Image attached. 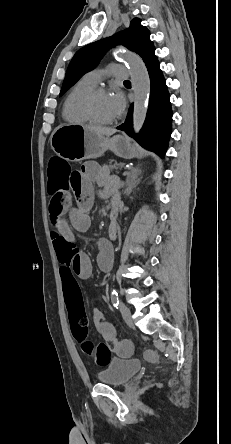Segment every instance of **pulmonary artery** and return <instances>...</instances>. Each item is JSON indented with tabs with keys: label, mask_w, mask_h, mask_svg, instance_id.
Listing matches in <instances>:
<instances>
[{
	"label": "pulmonary artery",
	"mask_w": 231,
	"mask_h": 444,
	"mask_svg": "<svg viewBox=\"0 0 231 444\" xmlns=\"http://www.w3.org/2000/svg\"><path fill=\"white\" fill-rule=\"evenodd\" d=\"M130 70L124 66L111 65L107 71L95 69L88 72L85 78L93 84H97L104 75H110L118 80L128 79Z\"/></svg>",
	"instance_id": "e3ab8cb5"
}]
</instances>
